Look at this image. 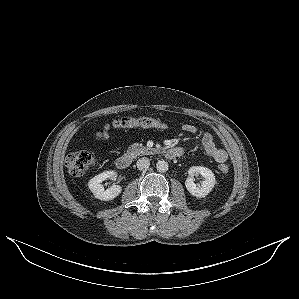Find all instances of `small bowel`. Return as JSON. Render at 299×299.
I'll use <instances>...</instances> for the list:
<instances>
[{
  "instance_id": "1",
  "label": "small bowel",
  "mask_w": 299,
  "mask_h": 299,
  "mask_svg": "<svg viewBox=\"0 0 299 299\" xmlns=\"http://www.w3.org/2000/svg\"><path fill=\"white\" fill-rule=\"evenodd\" d=\"M110 125L105 124L101 131L95 134V138L98 140H106L109 137ZM183 131L186 133L193 134L197 131L196 127L192 124H184L182 127ZM202 146L206 153L213 157L218 163H224L228 159L227 151L223 148L218 147L210 133H205L202 137Z\"/></svg>"
}]
</instances>
